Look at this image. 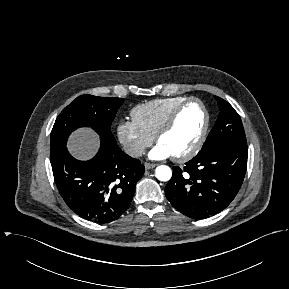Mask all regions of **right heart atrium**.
I'll return each mask as SVG.
<instances>
[{
  "instance_id": "obj_1",
  "label": "right heart atrium",
  "mask_w": 289,
  "mask_h": 289,
  "mask_svg": "<svg viewBox=\"0 0 289 289\" xmlns=\"http://www.w3.org/2000/svg\"><path fill=\"white\" fill-rule=\"evenodd\" d=\"M117 137L128 155L140 157L154 141L134 120H122L117 125Z\"/></svg>"
}]
</instances>
